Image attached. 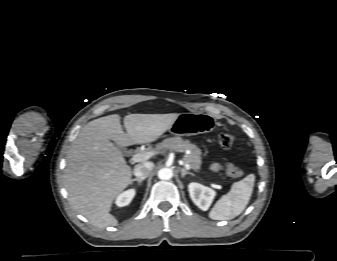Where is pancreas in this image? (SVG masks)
<instances>
[{
  "mask_svg": "<svg viewBox=\"0 0 337 261\" xmlns=\"http://www.w3.org/2000/svg\"><path fill=\"white\" fill-rule=\"evenodd\" d=\"M157 148L169 149L178 152H185L189 150L190 154H186L183 157V161L184 163H188L195 172H199L202 164L201 150L196 145L191 144L190 141L183 140L180 137L167 138L159 144Z\"/></svg>",
  "mask_w": 337,
  "mask_h": 261,
  "instance_id": "obj_1",
  "label": "pancreas"
}]
</instances>
